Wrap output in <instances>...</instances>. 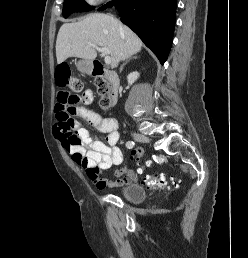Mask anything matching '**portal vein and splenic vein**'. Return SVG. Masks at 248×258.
Returning <instances> with one entry per match:
<instances>
[{
  "label": "portal vein and splenic vein",
  "mask_w": 248,
  "mask_h": 258,
  "mask_svg": "<svg viewBox=\"0 0 248 258\" xmlns=\"http://www.w3.org/2000/svg\"><path fill=\"white\" fill-rule=\"evenodd\" d=\"M89 46L96 49L97 51L102 53V56L105 57V63L106 64H111V57L108 55V51L105 48H100L97 45L93 44V43H89Z\"/></svg>",
  "instance_id": "obj_1"
}]
</instances>
